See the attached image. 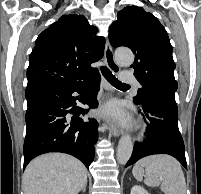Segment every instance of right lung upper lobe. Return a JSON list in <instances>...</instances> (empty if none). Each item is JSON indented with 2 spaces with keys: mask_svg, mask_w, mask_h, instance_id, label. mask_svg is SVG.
I'll use <instances>...</instances> for the list:
<instances>
[{
  "mask_svg": "<svg viewBox=\"0 0 201 194\" xmlns=\"http://www.w3.org/2000/svg\"><path fill=\"white\" fill-rule=\"evenodd\" d=\"M83 15H63L37 38L27 69V88L39 85L71 87L87 81L102 58L104 38Z\"/></svg>",
  "mask_w": 201,
  "mask_h": 194,
  "instance_id": "1",
  "label": "right lung upper lobe"
}]
</instances>
